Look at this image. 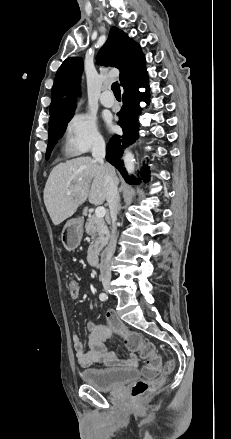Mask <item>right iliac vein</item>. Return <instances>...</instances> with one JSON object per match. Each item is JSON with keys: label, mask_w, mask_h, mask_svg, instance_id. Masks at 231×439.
Returning <instances> with one entry per match:
<instances>
[{"label": "right iliac vein", "mask_w": 231, "mask_h": 439, "mask_svg": "<svg viewBox=\"0 0 231 439\" xmlns=\"http://www.w3.org/2000/svg\"><path fill=\"white\" fill-rule=\"evenodd\" d=\"M104 289L106 292L110 291V285L109 284L104 285Z\"/></svg>", "instance_id": "1"}]
</instances>
